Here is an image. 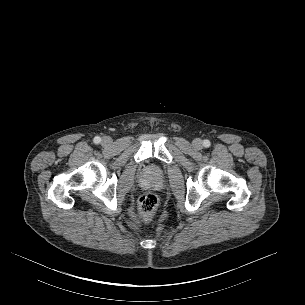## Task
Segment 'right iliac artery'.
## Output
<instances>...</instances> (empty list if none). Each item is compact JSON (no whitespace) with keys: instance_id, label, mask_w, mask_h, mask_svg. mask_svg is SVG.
Returning <instances> with one entry per match:
<instances>
[{"instance_id":"obj_1","label":"right iliac artery","mask_w":305,"mask_h":305,"mask_svg":"<svg viewBox=\"0 0 305 305\" xmlns=\"http://www.w3.org/2000/svg\"><path fill=\"white\" fill-rule=\"evenodd\" d=\"M94 143L98 144L101 142V138L99 136H96L94 139H93Z\"/></svg>"}]
</instances>
